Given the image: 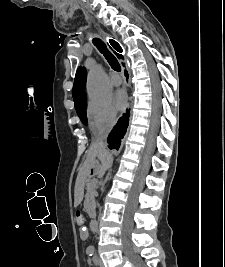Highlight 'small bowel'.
<instances>
[{"instance_id":"obj_1","label":"small bowel","mask_w":225,"mask_h":267,"mask_svg":"<svg viewBox=\"0 0 225 267\" xmlns=\"http://www.w3.org/2000/svg\"><path fill=\"white\" fill-rule=\"evenodd\" d=\"M80 236H81V237H85V236H86L85 231L81 232Z\"/></svg>"}]
</instances>
